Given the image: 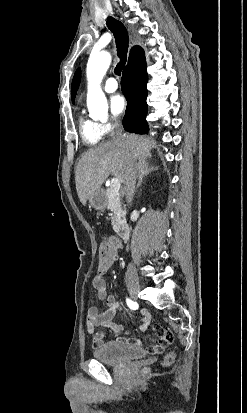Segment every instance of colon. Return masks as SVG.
Here are the masks:
<instances>
[{
	"label": "colon",
	"instance_id": "1",
	"mask_svg": "<svg viewBox=\"0 0 247 413\" xmlns=\"http://www.w3.org/2000/svg\"><path fill=\"white\" fill-rule=\"evenodd\" d=\"M116 260V245L111 244V241H104L102 244L96 245V264L100 266L102 273L109 271V261ZM174 360V353H169L163 357V363L170 365Z\"/></svg>",
	"mask_w": 247,
	"mask_h": 413
}]
</instances>
